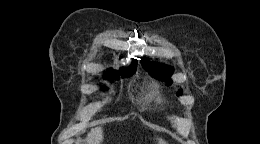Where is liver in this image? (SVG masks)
Returning <instances> with one entry per match:
<instances>
[{"instance_id": "6515ba94", "label": "liver", "mask_w": 260, "mask_h": 144, "mask_svg": "<svg viewBox=\"0 0 260 144\" xmlns=\"http://www.w3.org/2000/svg\"><path fill=\"white\" fill-rule=\"evenodd\" d=\"M103 140V131L101 127L93 128L87 135V144H101ZM158 144H167L164 140L158 139Z\"/></svg>"}]
</instances>
